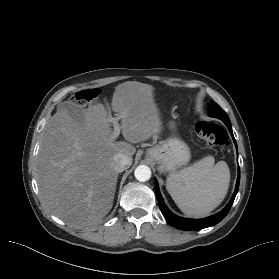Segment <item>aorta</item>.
<instances>
[{
	"label": "aorta",
	"mask_w": 279,
	"mask_h": 279,
	"mask_svg": "<svg viewBox=\"0 0 279 279\" xmlns=\"http://www.w3.org/2000/svg\"><path fill=\"white\" fill-rule=\"evenodd\" d=\"M134 175L138 181L145 182L151 178V170L146 165H139L135 169Z\"/></svg>",
	"instance_id": "aorta-1"
}]
</instances>
